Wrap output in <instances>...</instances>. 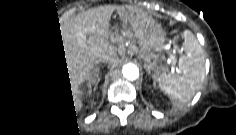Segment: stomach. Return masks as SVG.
<instances>
[{
	"label": "stomach",
	"mask_w": 236,
	"mask_h": 135,
	"mask_svg": "<svg viewBox=\"0 0 236 135\" xmlns=\"http://www.w3.org/2000/svg\"><path fill=\"white\" fill-rule=\"evenodd\" d=\"M137 13L134 8L128 6H120L117 9L118 16L125 24L124 30L122 31L123 37L117 34V40L121 45L129 41L130 46H135L133 51L138 53L146 61L147 69L152 70L154 77H156L161 71L167 69L159 64V58H162L161 53L165 49L167 38L161 26L155 22L136 33L131 28V21L132 17H135Z\"/></svg>",
	"instance_id": "1"
}]
</instances>
